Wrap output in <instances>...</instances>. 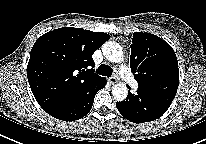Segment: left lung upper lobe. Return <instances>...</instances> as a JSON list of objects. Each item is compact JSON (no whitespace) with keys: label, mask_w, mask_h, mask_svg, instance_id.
<instances>
[{"label":"left lung upper lobe","mask_w":206,"mask_h":144,"mask_svg":"<svg viewBox=\"0 0 206 144\" xmlns=\"http://www.w3.org/2000/svg\"><path fill=\"white\" fill-rule=\"evenodd\" d=\"M130 67L139 87L148 96H168L174 99L179 85V69L172 47L151 33L134 32Z\"/></svg>","instance_id":"1"}]
</instances>
